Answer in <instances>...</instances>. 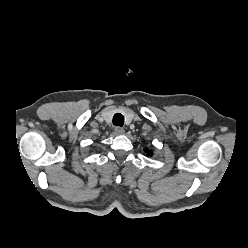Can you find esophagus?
<instances>
[{
    "label": "esophagus",
    "mask_w": 248,
    "mask_h": 248,
    "mask_svg": "<svg viewBox=\"0 0 248 248\" xmlns=\"http://www.w3.org/2000/svg\"><path fill=\"white\" fill-rule=\"evenodd\" d=\"M114 132H115L116 135H122L124 133V129L121 128V127H116L114 129Z\"/></svg>",
    "instance_id": "1"
}]
</instances>
